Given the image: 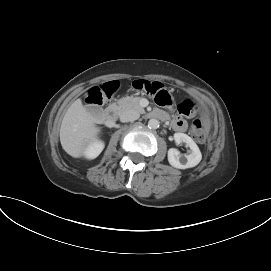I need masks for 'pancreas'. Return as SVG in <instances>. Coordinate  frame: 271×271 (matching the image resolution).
I'll return each mask as SVG.
<instances>
[{
  "instance_id": "1",
  "label": "pancreas",
  "mask_w": 271,
  "mask_h": 271,
  "mask_svg": "<svg viewBox=\"0 0 271 271\" xmlns=\"http://www.w3.org/2000/svg\"><path fill=\"white\" fill-rule=\"evenodd\" d=\"M140 97L127 96L119 99L117 103L111 105L118 113H122L126 110H135L139 113H144L145 110L140 105Z\"/></svg>"
}]
</instances>
